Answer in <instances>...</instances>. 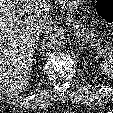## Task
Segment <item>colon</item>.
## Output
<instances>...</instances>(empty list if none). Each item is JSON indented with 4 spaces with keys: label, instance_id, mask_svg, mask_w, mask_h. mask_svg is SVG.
Returning a JSON list of instances; mask_svg holds the SVG:
<instances>
[{
    "label": "colon",
    "instance_id": "1",
    "mask_svg": "<svg viewBox=\"0 0 113 113\" xmlns=\"http://www.w3.org/2000/svg\"><path fill=\"white\" fill-rule=\"evenodd\" d=\"M98 15L109 23H113V0H97Z\"/></svg>",
    "mask_w": 113,
    "mask_h": 113
}]
</instances>
